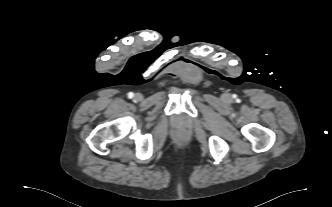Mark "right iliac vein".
<instances>
[{
  "mask_svg": "<svg viewBox=\"0 0 332 207\" xmlns=\"http://www.w3.org/2000/svg\"><path fill=\"white\" fill-rule=\"evenodd\" d=\"M135 98H136V100L140 101V100H142L143 96H142V94L137 93V94L135 95Z\"/></svg>",
  "mask_w": 332,
  "mask_h": 207,
  "instance_id": "right-iliac-vein-1",
  "label": "right iliac vein"
}]
</instances>
